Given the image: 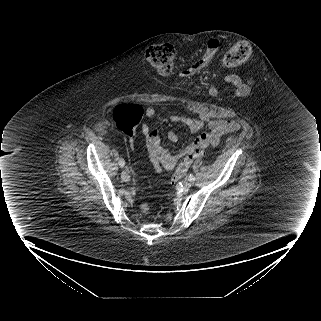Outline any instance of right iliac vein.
Instances as JSON below:
<instances>
[{"label":"right iliac vein","instance_id":"obj_1","mask_svg":"<svg viewBox=\"0 0 321 321\" xmlns=\"http://www.w3.org/2000/svg\"><path fill=\"white\" fill-rule=\"evenodd\" d=\"M121 178L125 181L128 182L130 180V176L126 172L121 173Z\"/></svg>","mask_w":321,"mask_h":321}]
</instances>
